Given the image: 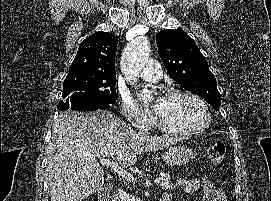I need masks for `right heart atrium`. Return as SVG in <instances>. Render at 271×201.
Wrapping results in <instances>:
<instances>
[{
    "mask_svg": "<svg viewBox=\"0 0 271 201\" xmlns=\"http://www.w3.org/2000/svg\"><path fill=\"white\" fill-rule=\"evenodd\" d=\"M120 104L123 115L130 125L140 130H146L152 126L153 117L144 112L129 96L122 95Z\"/></svg>",
    "mask_w": 271,
    "mask_h": 201,
    "instance_id": "1",
    "label": "right heart atrium"
}]
</instances>
